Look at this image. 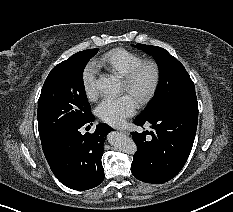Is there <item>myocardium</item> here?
I'll return each mask as SVG.
<instances>
[{"instance_id":"obj_1","label":"myocardium","mask_w":233,"mask_h":212,"mask_svg":"<svg viewBox=\"0 0 233 212\" xmlns=\"http://www.w3.org/2000/svg\"><path fill=\"white\" fill-rule=\"evenodd\" d=\"M145 70H149L151 73V80L148 87L137 97V103L139 105L147 104L155 95L157 88L161 80V70L159 65L151 60H145L136 65L126 76L123 77V83L127 91H132L140 76Z\"/></svg>"}]
</instances>
